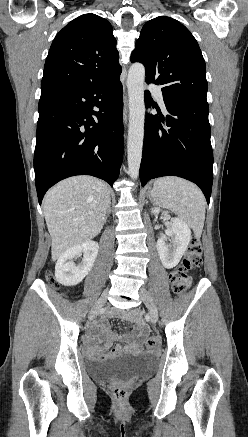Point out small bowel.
<instances>
[{
  "mask_svg": "<svg viewBox=\"0 0 248 437\" xmlns=\"http://www.w3.org/2000/svg\"><path fill=\"white\" fill-rule=\"evenodd\" d=\"M115 313H111V316H114ZM144 334V328L142 325H138L137 332L133 335H125L120 336L116 333L112 332L105 320H101L95 332L92 335L86 337V354L90 358L94 359H104L108 356H113L122 351H137L140 348V344L138 343V339ZM104 339V343L101 345L99 341ZM115 341H123L124 345L117 344L110 353H106V351L111 347L112 343Z\"/></svg>",
  "mask_w": 248,
  "mask_h": 437,
  "instance_id": "1",
  "label": "small bowel"
}]
</instances>
